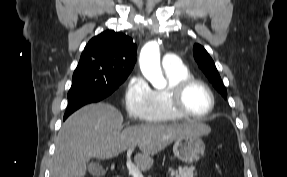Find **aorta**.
Masks as SVG:
<instances>
[{"mask_svg":"<svg viewBox=\"0 0 287 177\" xmlns=\"http://www.w3.org/2000/svg\"><path fill=\"white\" fill-rule=\"evenodd\" d=\"M139 62L144 77L155 88L160 89L166 86L160 67V49L157 42H149L142 48Z\"/></svg>","mask_w":287,"mask_h":177,"instance_id":"aorta-1","label":"aorta"}]
</instances>
